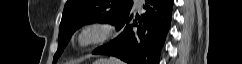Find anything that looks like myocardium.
Returning <instances> with one entry per match:
<instances>
[{
  "mask_svg": "<svg viewBox=\"0 0 242 64\" xmlns=\"http://www.w3.org/2000/svg\"><path fill=\"white\" fill-rule=\"evenodd\" d=\"M114 33V27L107 22H89L75 32L73 43L79 49H88L106 43Z\"/></svg>",
  "mask_w": 242,
  "mask_h": 64,
  "instance_id": "obj_1",
  "label": "myocardium"
}]
</instances>
